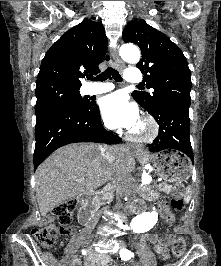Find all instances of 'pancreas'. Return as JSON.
I'll return each instance as SVG.
<instances>
[{"mask_svg":"<svg viewBox=\"0 0 221 266\" xmlns=\"http://www.w3.org/2000/svg\"><path fill=\"white\" fill-rule=\"evenodd\" d=\"M172 185H168L166 183H162L158 186V190L160 192H164L166 194H169L172 191ZM106 199H109V196H105L104 198H102L103 201H105ZM100 204H103V202H101Z\"/></svg>","mask_w":221,"mask_h":266,"instance_id":"cf45deb5","label":"pancreas"}]
</instances>
